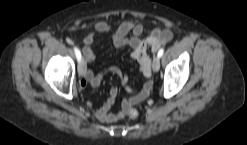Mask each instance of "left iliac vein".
Instances as JSON below:
<instances>
[{"mask_svg":"<svg viewBox=\"0 0 247 145\" xmlns=\"http://www.w3.org/2000/svg\"><path fill=\"white\" fill-rule=\"evenodd\" d=\"M152 68L154 72H158L160 68V59L159 57H154L153 62H152Z\"/></svg>","mask_w":247,"mask_h":145,"instance_id":"4c4485c4","label":"left iliac vein"}]
</instances>
